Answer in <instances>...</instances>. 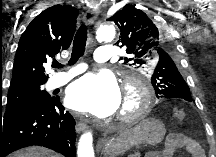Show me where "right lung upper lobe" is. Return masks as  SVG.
I'll use <instances>...</instances> for the list:
<instances>
[{"label": "right lung upper lobe", "mask_w": 216, "mask_h": 157, "mask_svg": "<svg viewBox=\"0 0 216 157\" xmlns=\"http://www.w3.org/2000/svg\"><path fill=\"white\" fill-rule=\"evenodd\" d=\"M77 15L70 5H54L32 20L18 43L9 92L46 83L44 65L69 48Z\"/></svg>", "instance_id": "1"}]
</instances>
